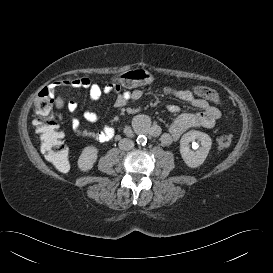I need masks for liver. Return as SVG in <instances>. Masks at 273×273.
<instances>
[{
  "label": "liver",
  "mask_w": 273,
  "mask_h": 273,
  "mask_svg": "<svg viewBox=\"0 0 273 273\" xmlns=\"http://www.w3.org/2000/svg\"><path fill=\"white\" fill-rule=\"evenodd\" d=\"M63 104H64L63 100L60 97H58L56 100L57 108H61L63 106Z\"/></svg>",
  "instance_id": "1"
}]
</instances>
